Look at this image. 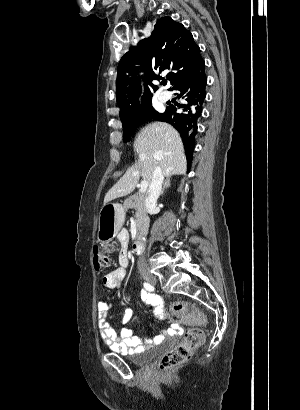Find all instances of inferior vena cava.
Returning <instances> with one entry per match:
<instances>
[{
    "mask_svg": "<svg viewBox=\"0 0 300 410\" xmlns=\"http://www.w3.org/2000/svg\"><path fill=\"white\" fill-rule=\"evenodd\" d=\"M163 180L164 175L161 168L159 166L155 167L149 185L148 193L145 198V207L148 213L153 212L156 208V203L161 193ZM137 266L139 270L147 269V263L144 255L139 257Z\"/></svg>",
    "mask_w": 300,
    "mask_h": 410,
    "instance_id": "inferior-vena-cava-1",
    "label": "inferior vena cava"
}]
</instances>
